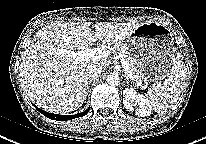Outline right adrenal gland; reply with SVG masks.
Returning a JSON list of instances; mask_svg holds the SVG:
<instances>
[{
	"label": "right adrenal gland",
	"instance_id": "2a0ac1e0",
	"mask_svg": "<svg viewBox=\"0 0 206 144\" xmlns=\"http://www.w3.org/2000/svg\"><path fill=\"white\" fill-rule=\"evenodd\" d=\"M90 83H91V81L87 82V85H86V90H87V92H86V93H88V91H89V85H90Z\"/></svg>",
	"mask_w": 206,
	"mask_h": 144
}]
</instances>
